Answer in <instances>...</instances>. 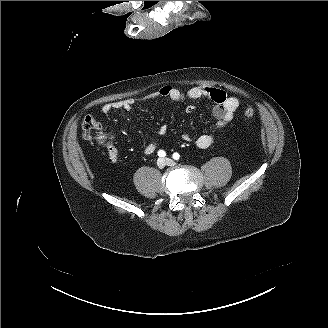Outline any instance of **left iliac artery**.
Listing matches in <instances>:
<instances>
[{
    "mask_svg": "<svg viewBox=\"0 0 328 328\" xmlns=\"http://www.w3.org/2000/svg\"><path fill=\"white\" fill-rule=\"evenodd\" d=\"M179 158H180V155H179V153H174L173 154V159H175V160H179Z\"/></svg>",
    "mask_w": 328,
    "mask_h": 328,
    "instance_id": "1",
    "label": "left iliac artery"
}]
</instances>
